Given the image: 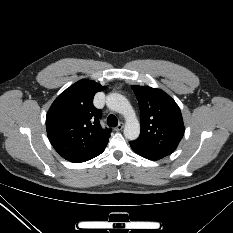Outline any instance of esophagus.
Segmentation results:
<instances>
[{"label": "esophagus", "mask_w": 233, "mask_h": 233, "mask_svg": "<svg viewBox=\"0 0 233 233\" xmlns=\"http://www.w3.org/2000/svg\"><path fill=\"white\" fill-rule=\"evenodd\" d=\"M124 127V123L123 122H120L116 127H115V131H120L122 130Z\"/></svg>", "instance_id": "obj_1"}]
</instances>
